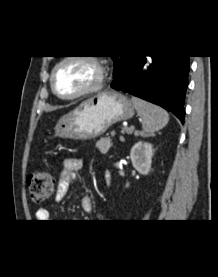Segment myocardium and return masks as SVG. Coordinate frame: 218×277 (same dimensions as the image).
Instances as JSON below:
<instances>
[{"mask_svg": "<svg viewBox=\"0 0 218 277\" xmlns=\"http://www.w3.org/2000/svg\"><path fill=\"white\" fill-rule=\"evenodd\" d=\"M69 62H81V63L87 64L93 69L94 76L91 82L88 85H86L84 88H82L80 91H78L77 93L73 95H62L56 89L55 76L58 70ZM105 76H106L105 69L102 63L96 57L87 56V55H68L61 58L53 66V69L51 71V77H50V85L53 93L58 98L63 100H75L85 95L92 94L99 91L103 86Z\"/></svg>", "mask_w": 218, "mask_h": 277, "instance_id": "f54148a6", "label": "myocardium"}]
</instances>
